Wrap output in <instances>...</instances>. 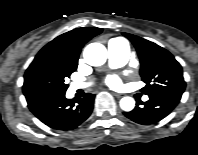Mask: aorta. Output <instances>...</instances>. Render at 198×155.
<instances>
[{"instance_id":"762f6f07","label":"aorta","mask_w":198,"mask_h":155,"mask_svg":"<svg viewBox=\"0 0 198 155\" xmlns=\"http://www.w3.org/2000/svg\"><path fill=\"white\" fill-rule=\"evenodd\" d=\"M86 63L91 66H101L107 60V49L100 43H90L83 52ZM120 107L124 111H131L135 107V101L132 97H123L120 100Z\"/></svg>"}]
</instances>
